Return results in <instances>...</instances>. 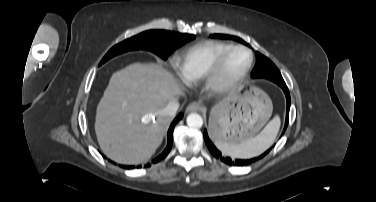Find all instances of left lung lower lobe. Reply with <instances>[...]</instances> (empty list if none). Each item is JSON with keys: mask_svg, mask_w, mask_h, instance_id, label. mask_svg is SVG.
Masks as SVG:
<instances>
[{"mask_svg": "<svg viewBox=\"0 0 376 202\" xmlns=\"http://www.w3.org/2000/svg\"><path fill=\"white\" fill-rule=\"evenodd\" d=\"M285 95H286V99H287V111H286V120H285V126H284V130L282 132V135L284 134L286 128H287V125H288V119H289V110H290V94H289V90L286 86V84H281L279 85ZM204 140H205V143H206V146L207 148L209 149L210 153L218 158V159H221V161H223L224 163L228 164V165H237V166H247V165H250L256 161H259L261 160L264 156H266L269 151L271 150L268 149L265 153H263L262 155L258 156V157H254L252 159H248V160H240V159H237L235 161H232V159L230 157H224L221 152L214 146V144L211 142V140L209 139L208 137V134H207V131L205 130L204 131Z\"/></svg>", "mask_w": 376, "mask_h": 202, "instance_id": "1", "label": "left lung lower lobe"}]
</instances>
